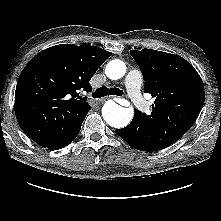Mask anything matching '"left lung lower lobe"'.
<instances>
[{
	"mask_svg": "<svg viewBox=\"0 0 221 221\" xmlns=\"http://www.w3.org/2000/svg\"><path fill=\"white\" fill-rule=\"evenodd\" d=\"M137 112L138 110L136 109L135 114ZM135 114L133 120L135 119ZM131 123L125 128L116 129L115 130L116 134L119 135L124 141H126L130 146H132L135 149L141 151H151L138 139L135 127H133Z\"/></svg>",
	"mask_w": 221,
	"mask_h": 221,
	"instance_id": "0a47b994",
	"label": "left lung lower lobe"
}]
</instances>
